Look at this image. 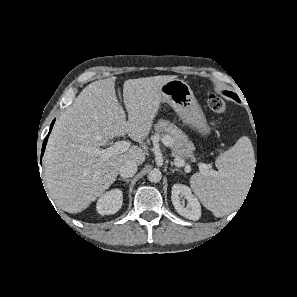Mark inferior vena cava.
Segmentation results:
<instances>
[{"label":"inferior vena cava","instance_id":"602c4592","mask_svg":"<svg viewBox=\"0 0 297 297\" xmlns=\"http://www.w3.org/2000/svg\"><path fill=\"white\" fill-rule=\"evenodd\" d=\"M136 172H137V164L132 160L126 161L119 168V174L123 178L132 177Z\"/></svg>","mask_w":297,"mask_h":297}]
</instances>
